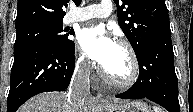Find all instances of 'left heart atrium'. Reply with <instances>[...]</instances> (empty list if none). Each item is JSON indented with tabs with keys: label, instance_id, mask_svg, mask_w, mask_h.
<instances>
[{
	"label": "left heart atrium",
	"instance_id": "obj_1",
	"mask_svg": "<svg viewBox=\"0 0 193 112\" xmlns=\"http://www.w3.org/2000/svg\"><path fill=\"white\" fill-rule=\"evenodd\" d=\"M78 44L88 58L104 66L117 43L103 25H98L83 29L78 35Z\"/></svg>",
	"mask_w": 193,
	"mask_h": 112
}]
</instances>
